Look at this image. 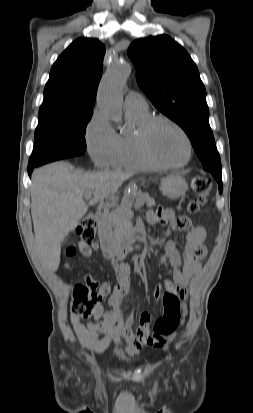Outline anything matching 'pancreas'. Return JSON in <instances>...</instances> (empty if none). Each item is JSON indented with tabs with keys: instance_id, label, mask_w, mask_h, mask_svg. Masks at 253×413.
Wrapping results in <instances>:
<instances>
[{
	"instance_id": "1",
	"label": "pancreas",
	"mask_w": 253,
	"mask_h": 413,
	"mask_svg": "<svg viewBox=\"0 0 253 413\" xmlns=\"http://www.w3.org/2000/svg\"><path fill=\"white\" fill-rule=\"evenodd\" d=\"M132 200H136V205L138 206H142L144 203L149 207L155 205L154 199L148 193L135 191L131 195L124 196L120 206L103 214L105 222L113 228L114 236L119 245L127 246L135 241L134 231L131 226L133 213L130 206Z\"/></svg>"
}]
</instances>
